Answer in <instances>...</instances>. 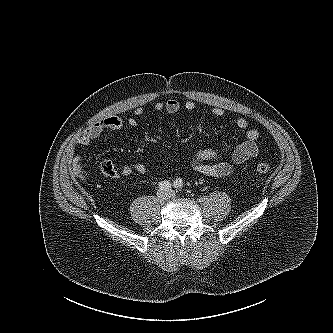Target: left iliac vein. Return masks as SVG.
I'll use <instances>...</instances> for the list:
<instances>
[{
    "label": "left iliac vein",
    "instance_id": "4c4485c4",
    "mask_svg": "<svg viewBox=\"0 0 333 333\" xmlns=\"http://www.w3.org/2000/svg\"><path fill=\"white\" fill-rule=\"evenodd\" d=\"M171 196H173L174 195V193L172 192V191H169L168 192Z\"/></svg>",
    "mask_w": 333,
    "mask_h": 333
}]
</instances>
